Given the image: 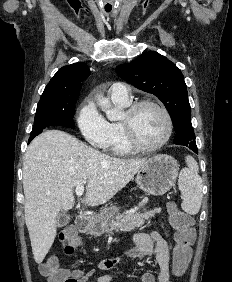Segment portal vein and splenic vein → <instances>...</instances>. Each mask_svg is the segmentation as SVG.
<instances>
[{
	"instance_id": "18ae733b",
	"label": "portal vein and splenic vein",
	"mask_w": 232,
	"mask_h": 282,
	"mask_svg": "<svg viewBox=\"0 0 232 282\" xmlns=\"http://www.w3.org/2000/svg\"><path fill=\"white\" fill-rule=\"evenodd\" d=\"M75 193L77 196H82L84 193V186L83 185H78L75 189Z\"/></svg>"
}]
</instances>
